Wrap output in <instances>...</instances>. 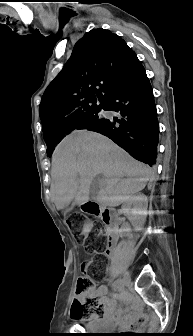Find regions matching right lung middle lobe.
<instances>
[{
	"label": "right lung middle lobe",
	"mask_w": 193,
	"mask_h": 336,
	"mask_svg": "<svg viewBox=\"0 0 193 336\" xmlns=\"http://www.w3.org/2000/svg\"><path fill=\"white\" fill-rule=\"evenodd\" d=\"M100 109H97L91 113H88L87 115L83 116L82 118L78 119L75 124L64 134L59 136H54L48 140H46V144L48 146L47 148V154L48 156H51L53 150L55 149V145L62 140V138L69 134L70 132L74 130H80V129H86L90 131H97L98 129H101L107 119L105 118H99L98 111Z\"/></svg>",
	"instance_id": "dd1d6c3e"
}]
</instances>
